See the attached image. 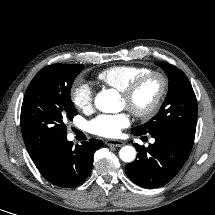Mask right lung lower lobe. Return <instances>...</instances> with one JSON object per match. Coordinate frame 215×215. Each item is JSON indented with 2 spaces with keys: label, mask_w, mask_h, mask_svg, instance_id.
Segmentation results:
<instances>
[{
  "label": "right lung lower lobe",
  "mask_w": 215,
  "mask_h": 215,
  "mask_svg": "<svg viewBox=\"0 0 215 215\" xmlns=\"http://www.w3.org/2000/svg\"><path fill=\"white\" fill-rule=\"evenodd\" d=\"M101 146L103 142L97 139L73 146V142L65 138L53 146L36 167L50 183L64 188L74 187L90 173L94 153Z\"/></svg>",
  "instance_id": "1"
}]
</instances>
